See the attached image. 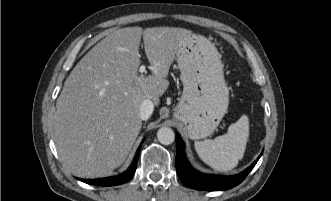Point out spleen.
Returning a JSON list of instances; mask_svg holds the SVG:
<instances>
[{"label":"spleen","mask_w":331,"mask_h":201,"mask_svg":"<svg viewBox=\"0 0 331 201\" xmlns=\"http://www.w3.org/2000/svg\"><path fill=\"white\" fill-rule=\"evenodd\" d=\"M249 137V120L242 115L229 126L228 132L213 140L196 141L195 150L202 161L217 171L226 172L243 158Z\"/></svg>","instance_id":"spleen-1"}]
</instances>
